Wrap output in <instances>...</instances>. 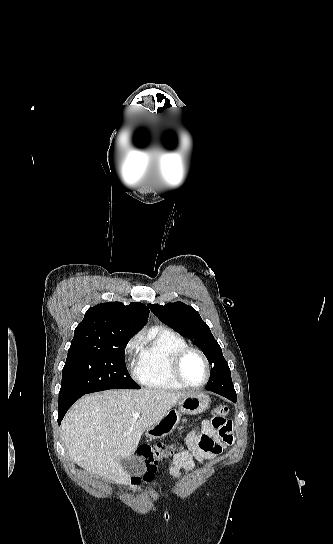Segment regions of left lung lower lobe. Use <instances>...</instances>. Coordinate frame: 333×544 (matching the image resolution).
I'll list each match as a JSON object with an SVG mask.
<instances>
[{"label":"left lung lower lobe","mask_w":333,"mask_h":544,"mask_svg":"<svg viewBox=\"0 0 333 544\" xmlns=\"http://www.w3.org/2000/svg\"><path fill=\"white\" fill-rule=\"evenodd\" d=\"M212 392H215L223 397H226L234 403H236L237 401L236 392H225V391H212Z\"/></svg>","instance_id":"left-lung-lower-lobe-1"}]
</instances>
